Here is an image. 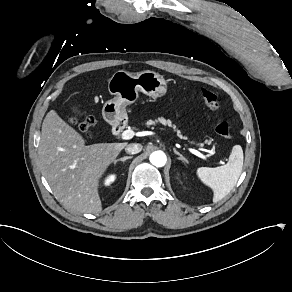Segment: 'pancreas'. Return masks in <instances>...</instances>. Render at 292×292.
Here are the masks:
<instances>
[{
    "label": "pancreas",
    "mask_w": 292,
    "mask_h": 292,
    "mask_svg": "<svg viewBox=\"0 0 292 292\" xmlns=\"http://www.w3.org/2000/svg\"><path fill=\"white\" fill-rule=\"evenodd\" d=\"M159 121H160V123L171 125V121H165L164 119H160ZM147 124L153 125L154 124V121L153 120H149L147 122Z\"/></svg>",
    "instance_id": "1"
}]
</instances>
